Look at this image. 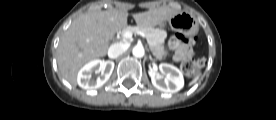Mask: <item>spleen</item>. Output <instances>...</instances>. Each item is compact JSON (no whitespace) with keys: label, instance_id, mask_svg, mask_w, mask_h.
Masks as SVG:
<instances>
[{"label":"spleen","instance_id":"obj_1","mask_svg":"<svg viewBox=\"0 0 276 120\" xmlns=\"http://www.w3.org/2000/svg\"><path fill=\"white\" fill-rule=\"evenodd\" d=\"M199 79V76H196L191 82H190V85L196 83Z\"/></svg>","mask_w":276,"mask_h":120}]
</instances>
